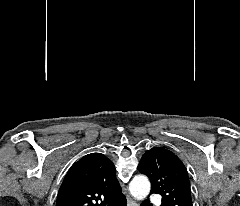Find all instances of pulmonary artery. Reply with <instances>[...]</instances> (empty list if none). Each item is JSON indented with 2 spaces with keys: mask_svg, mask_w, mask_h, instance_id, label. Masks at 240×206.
Listing matches in <instances>:
<instances>
[{
  "mask_svg": "<svg viewBox=\"0 0 240 206\" xmlns=\"http://www.w3.org/2000/svg\"><path fill=\"white\" fill-rule=\"evenodd\" d=\"M152 202H154V203H159L160 202V199L158 198V197H156V196H154V197H152Z\"/></svg>",
  "mask_w": 240,
  "mask_h": 206,
  "instance_id": "pulmonary-artery-1",
  "label": "pulmonary artery"
}]
</instances>
